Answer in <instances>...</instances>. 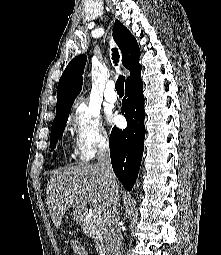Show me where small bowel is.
Here are the masks:
<instances>
[{
    "label": "small bowel",
    "instance_id": "obj_1",
    "mask_svg": "<svg viewBox=\"0 0 221 255\" xmlns=\"http://www.w3.org/2000/svg\"><path fill=\"white\" fill-rule=\"evenodd\" d=\"M70 247L75 255H88L84 245L77 239L70 241Z\"/></svg>",
    "mask_w": 221,
    "mask_h": 255
}]
</instances>
